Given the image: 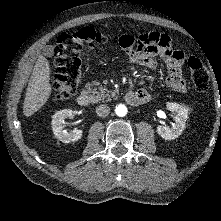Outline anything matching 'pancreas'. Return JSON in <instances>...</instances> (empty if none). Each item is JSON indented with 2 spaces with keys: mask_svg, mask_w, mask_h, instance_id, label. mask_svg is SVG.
<instances>
[{
  "mask_svg": "<svg viewBox=\"0 0 221 221\" xmlns=\"http://www.w3.org/2000/svg\"><path fill=\"white\" fill-rule=\"evenodd\" d=\"M98 85H99L98 82L86 84V88L88 92L92 94L94 102H98L100 100L104 101L105 99H107V101H110L111 98L115 96V92L108 90L106 87L99 86L98 88H96L95 86Z\"/></svg>",
  "mask_w": 221,
  "mask_h": 221,
  "instance_id": "1",
  "label": "pancreas"
}]
</instances>
